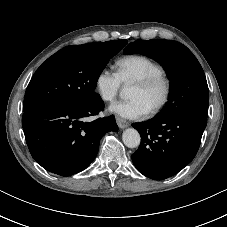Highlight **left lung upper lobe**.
Masks as SVG:
<instances>
[{"instance_id":"obj_1","label":"left lung upper lobe","mask_w":227,"mask_h":227,"mask_svg":"<svg viewBox=\"0 0 227 227\" xmlns=\"http://www.w3.org/2000/svg\"><path fill=\"white\" fill-rule=\"evenodd\" d=\"M123 53L148 56L166 70L170 80L168 103L156 118L178 114L207 118L209 90L205 74L196 57L186 46L173 40H136L130 43Z\"/></svg>"}]
</instances>
